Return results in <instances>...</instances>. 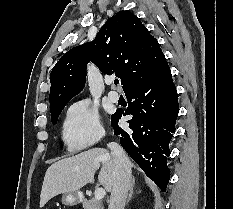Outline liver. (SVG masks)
<instances>
[{"mask_svg": "<svg viewBox=\"0 0 233 209\" xmlns=\"http://www.w3.org/2000/svg\"><path fill=\"white\" fill-rule=\"evenodd\" d=\"M100 166L98 181L107 192H111L115 162L108 150L93 148L53 163L45 173L40 195V207H44L54 196L79 191L83 186L93 181L94 174ZM130 166H133L131 162Z\"/></svg>", "mask_w": 233, "mask_h": 209, "instance_id": "6515ba94", "label": "liver"}]
</instances>
